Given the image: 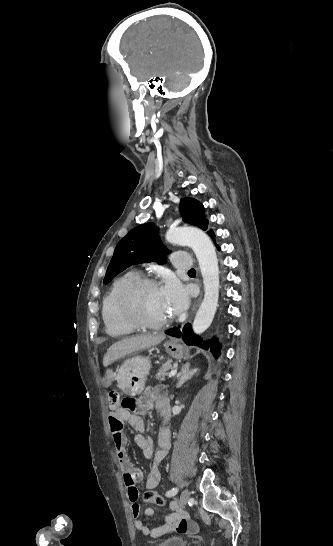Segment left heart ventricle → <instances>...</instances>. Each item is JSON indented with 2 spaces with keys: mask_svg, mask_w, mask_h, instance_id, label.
Segmentation results:
<instances>
[{
  "mask_svg": "<svg viewBox=\"0 0 333 546\" xmlns=\"http://www.w3.org/2000/svg\"><path fill=\"white\" fill-rule=\"evenodd\" d=\"M138 305L142 316L149 321L160 322L170 317L159 287L145 289L140 295Z\"/></svg>",
  "mask_w": 333,
  "mask_h": 546,
  "instance_id": "left-heart-ventricle-1",
  "label": "left heart ventricle"
}]
</instances>
